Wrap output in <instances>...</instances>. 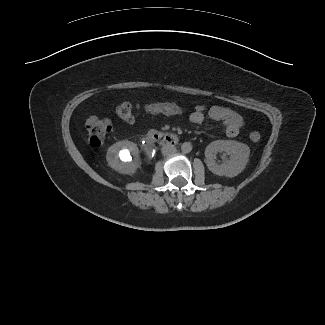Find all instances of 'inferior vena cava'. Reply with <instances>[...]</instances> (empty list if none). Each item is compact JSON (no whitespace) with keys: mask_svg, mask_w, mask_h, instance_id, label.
I'll return each mask as SVG.
<instances>
[{"mask_svg":"<svg viewBox=\"0 0 325 325\" xmlns=\"http://www.w3.org/2000/svg\"><path fill=\"white\" fill-rule=\"evenodd\" d=\"M175 152H176V148L174 145L166 144L162 147V153L165 156H170Z\"/></svg>","mask_w":325,"mask_h":325,"instance_id":"inferior-vena-cava-1","label":"inferior vena cava"}]
</instances>
